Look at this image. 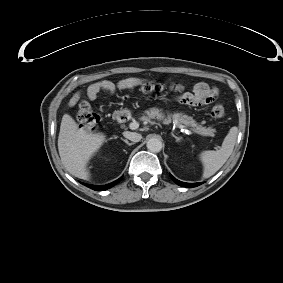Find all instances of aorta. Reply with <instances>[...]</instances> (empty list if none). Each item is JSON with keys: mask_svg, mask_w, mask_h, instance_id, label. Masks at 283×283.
I'll return each instance as SVG.
<instances>
[{"mask_svg": "<svg viewBox=\"0 0 283 283\" xmlns=\"http://www.w3.org/2000/svg\"><path fill=\"white\" fill-rule=\"evenodd\" d=\"M146 146L149 151L158 153L162 149V141L158 137H151L148 139Z\"/></svg>", "mask_w": 283, "mask_h": 283, "instance_id": "obj_1", "label": "aorta"}]
</instances>
